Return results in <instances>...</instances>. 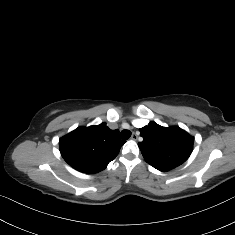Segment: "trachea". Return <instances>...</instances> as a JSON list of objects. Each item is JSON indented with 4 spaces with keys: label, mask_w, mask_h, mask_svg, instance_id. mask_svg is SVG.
Segmentation results:
<instances>
[{
    "label": "trachea",
    "mask_w": 235,
    "mask_h": 235,
    "mask_svg": "<svg viewBox=\"0 0 235 235\" xmlns=\"http://www.w3.org/2000/svg\"><path fill=\"white\" fill-rule=\"evenodd\" d=\"M120 136L122 139H128L131 136V132L129 130H122Z\"/></svg>",
    "instance_id": "obj_1"
}]
</instances>
